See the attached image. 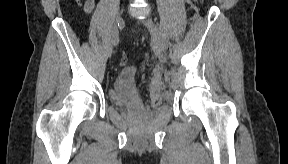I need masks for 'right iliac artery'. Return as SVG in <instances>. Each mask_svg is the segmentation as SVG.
<instances>
[{"instance_id": "82829eb1", "label": "right iliac artery", "mask_w": 288, "mask_h": 164, "mask_svg": "<svg viewBox=\"0 0 288 164\" xmlns=\"http://www.w3.org/2000/svg\"><path fill=\"white\" fill-rule=\"evenodd\" d=\"M118 43V38H116L113 42L114 45H116Z\"/></svg>"}]
</instances>
